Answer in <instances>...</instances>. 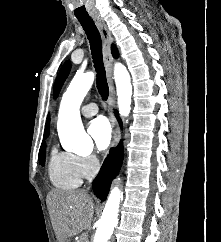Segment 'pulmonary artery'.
Wrapping results in <instances>:
<instances>
[{
	"label": "pulmonary artery",
	"instance_id": "obj_1",
	"mask_svg": "<svg viewBox=\"0 0 221 242\" xmlns=\"http://www.w3.org/2000/svg\"><path fill=\"white\" fill-rule=\"evenodd\" d=\"M81 113L85 116V117H91L94 116L98 113V107L95 103H89L86 104L82 107L81 109Z\"/></svg>",
	"mask_w": 221,
	"mask_h": 242
}]
</instances>
